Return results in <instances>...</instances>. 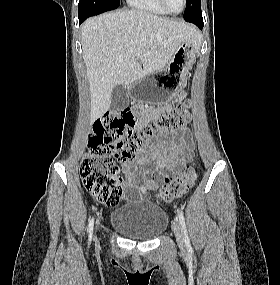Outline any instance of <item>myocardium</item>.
<instances>
[{
    "label": "myocardium",
    "instance_id": "f54148a6",
    "mask_svg": "<svg viewBox=\"0 0 280 285\" xmlns=\"http://www.w3.org/2000/svg\"><path fill=\"white\" fill-rule=\"evenodd\" d=\"M159 1H160L161 5L163 6V8H164L168 13L173 14V15H178V14L182 13V12L185 10V8H186V6H187V3H188L187 0H183V7H182V9H181L180 11H178V12H173V11H171L170 8L168 7L166 0H159Z\"/></svg>",
    "mask_w": 280,
    "mask_h": 285
}]
</instances>
